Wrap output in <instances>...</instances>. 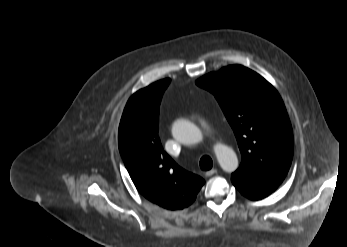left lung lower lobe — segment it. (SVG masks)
<instances>
[{
    "label": "left lung lower lobe",
    "instance_id": "obj_1",
    "mask_svg": "<svg viewBox=\"0 0 347 247\" xmlns=\"http://www.w3.org/2000/svg\"><path fill=\"white\" fill-rule=\"evenodd\" d=\"M231 180L241 194L251 200L262 199L275 191L279 186L274 184H255L236 176H231Z\"/></svg>",
    "mask_w": 347,
    "mask_h": 247
}]
</instances>
